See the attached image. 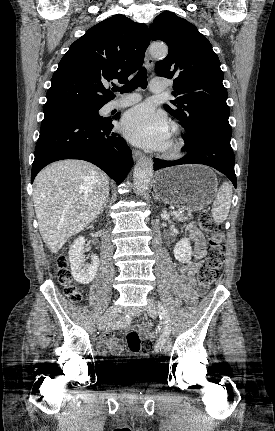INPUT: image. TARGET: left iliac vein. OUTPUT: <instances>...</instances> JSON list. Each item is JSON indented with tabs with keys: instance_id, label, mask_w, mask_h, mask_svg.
Masks as SVG:
<instances>
[{
	"instance_id": "obj_1",
	"label": "left iliac vein",
	"mask_w": 275,
	"mask_h": 431,
	"mask_svg": "<svg viewBox=\"0 0 275 431\" xmlns=\"http://www.w3.org/2000/svg\"><path fill=\"white\" fill-rule=\"evenodd\" d=\"M158 303L156 300L152 299V298H148V306H147V313L150 317L152 318H156L158 315ZM171 348V342L169 339H167L162 347V351L163 352H168L170 351Z\"/></svg>"
}]
</instances>
